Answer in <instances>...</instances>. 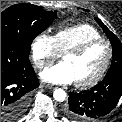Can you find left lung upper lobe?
Masks as SVG:
<instances>
[{"instance_id":"1","label":"left lung upper lobe","mask_w":122,"mask_h":122,"mask_svg":"<svg viewBox=\"0 0 122 122\" xmlns=\"http://www.w3.org/2000/svg\"><path fill=\"white\" fill-rule=\"evenodd\" d=\"M97 23L101 26V28L106 33L109 38L112 49H113V59L112 64L107 72V74L114 73L116 71H122V43L119 39L102 23V21L98 18H95Z\"/></svg>"}]
</instances>
